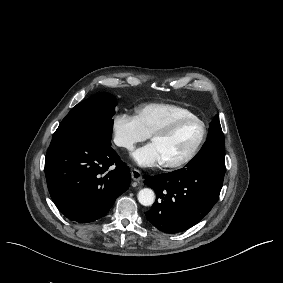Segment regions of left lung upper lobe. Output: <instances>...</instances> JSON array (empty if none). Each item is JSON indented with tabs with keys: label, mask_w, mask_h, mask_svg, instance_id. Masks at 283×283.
<instances>
[{
	"label": "left lung upper lobe",
	"mask_w": 283,
	"mask_h": 283,
	"mask_svg": "<svg viewBox=\"0 0 283 283\" xmlns=\"http://www.w3.org/2000/svg\"><path fill=\"white\" fill-rule=\"evenodd\" d=\"M205 147H207L208 149L217 148V149L221 150L222 152H225L224 136H223V133H222V129H221V125H220V122H219L218 115H216L214 120L211 122L210 130H209V134H208V139L205 142L202 149L205 148Z\"/></svg>",
	"instance_id": "left-lung-upper-lobe-1"
}]
</instances>
